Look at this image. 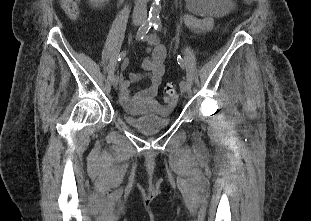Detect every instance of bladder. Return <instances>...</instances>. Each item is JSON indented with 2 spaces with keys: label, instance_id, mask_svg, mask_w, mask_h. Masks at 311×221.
I'll list each match as a JSON object with an SVG mask.
<instances>
[{
  "label": "bladder",
  "instance_id": "obj_1",
  "mask_svg": "<svg viewBox=\"0 0 311 221\" xmlns=\"http://www.w3.org/2000/svg\"><path fill=\"white\" fill-rule=\"evenodd\" d=\"M120 110L124 123L140 134L155 135L169 128L173 122L172 108H166L161 103H156L153 108H134L131 104H122Z\"/></svg>",
  "mask_w": 311,
  "mask_h": 221
}]
</instances>
